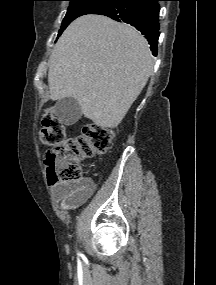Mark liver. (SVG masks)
Instances as JSON below:
<instances>
[{"instance_id":"obj_1","label":"liver","mask_w":216,"mask_h":285,"mask_svg":"<svg viewBox=\"0 0 216 285\" xmlns=\"http://www.w3.org/2000/svg\"><path fill=\"white\" fill-rule=\"evenodd\" d=\"M153 66L148 42L136 29L101 15L81 16L63 32L50 56V98H74L97 126L116 128Z\"/></svg>"}]
</instances>
